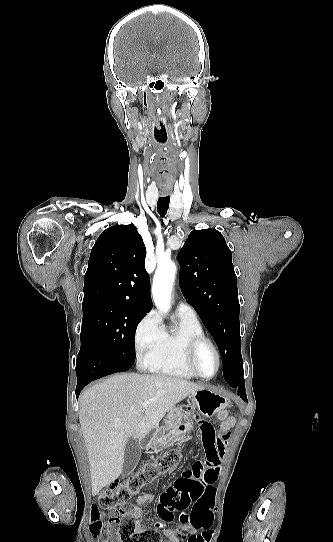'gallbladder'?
<instances>
[{
    "label": "gallbladder",
    "mask_w": 333,
    "mask_h": 542,
    "mask_svg": "<svg viewBox=\"0 0 333 542\" xmlns=\"http://www.w3.org/2000/svg\"><path fill=\"white\" fill-rule=\"evenodd\" d=\"M141 458V448L134 438H129L124 452V464L121 476H130Z\"/></svg>",
    "instance_id": "obj_1"
}]
</instances>
